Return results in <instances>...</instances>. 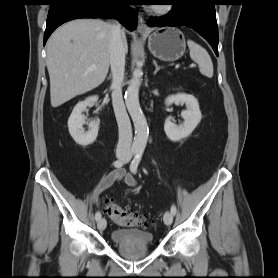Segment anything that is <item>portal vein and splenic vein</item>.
I'll use <instances>...</instances> for the list:
<instances>
[{"instance_id": "18ae733b", "label": "portal vein and splenic vein", "mask_w": 278, "mask_h": 278, "mask_svg": "<svg viewBox=\"0 0 278 278\" xmlns=\"http://www.w3.org/2000/svg\"><path fill=\"white\" fill-rule=\"evenodd\" d=\"M194 65H191L190 67H193ZM97 69V67L95 66V65H92V66H90L89 67V70H96Z\"/></svg>"}]
</instances>
